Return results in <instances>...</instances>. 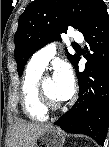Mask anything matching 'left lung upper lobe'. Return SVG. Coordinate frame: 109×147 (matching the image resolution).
<instances>
[{
	"instance_id": "5c2ea615",
	"label": "left lung upper lobe",
	"mask_w": 109,
	"mask_h": 147,
	"mask_svg": "<svg viewBox=\"0 0 109 147\" xmlns=\"http://www.w3.org/2000/svg\"><path fill=\"white\" fill-rule=\"evenodd\" d=\"M101 3L102 0H35L30 3L19 17L15 34V59L19 75H22L32 54L58 39L68 26L81 31ZM67 54L75 65L78 57Z\"/></svg>"
}]
</instances>
